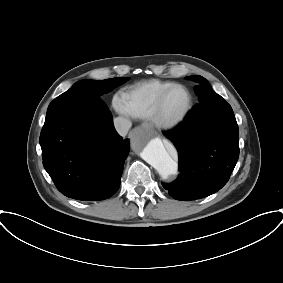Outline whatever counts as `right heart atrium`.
<instances>
[{
	"mask_svg": "<svg viewBox=\"0 0 283 283\" xmlns=\"http://www.w3.org/2000/svg\"><path fill=\"white\" fill-rule=\"evenodd\" d=\"M113 103H114V107H115V109H116V111L118 113H120L122 115H127L128 114L127 109H126V107H125V105H124V103H123L121 98L115 97Z\"/></svg>",
	"mask_w": 283,
	"mask_h": 283,
	"instance_id": "1",
	"label": "right heart atrium"
}]
</instances>
